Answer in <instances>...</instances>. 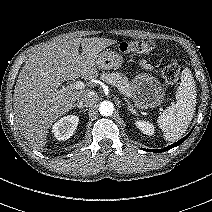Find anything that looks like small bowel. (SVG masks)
I'll return each mask as SVG.
<instances>
[{"label":"small bowel","mask_w":212,"mask_h":212,"mask_svg":"<svg viewBox=\"0 0 212 212\" xmlns=\"http://www.w3.org/2000/svg\"><path fill=\"white\" fill-rule=\"evenodd\" d=\"M142 65H143L144 67H147V64H146V63H142Z\"/></svg>","instance_id":"obj_1"}]
</instances>
